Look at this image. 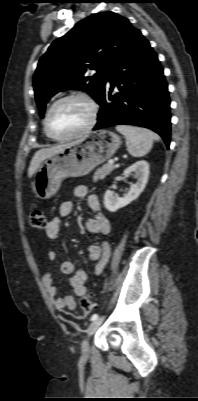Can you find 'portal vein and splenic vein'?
<instances>
[{"instance_id": "portal-vein-and-splenic-vein-1", "label": "portal vein and splenic vein", "mask_w": 198, "mask_h": 401, "mask_svg": "<svg viewBox=\"0 0 198 401\" xmlns=\"http://www.w3.org/2000/svg\"><path fill=\"white\" fill-rule=\"evenodd\" d=\"M108 163L113 164V163H114V160H109Z\"/></svg>"}]
</instances>
